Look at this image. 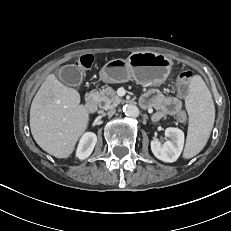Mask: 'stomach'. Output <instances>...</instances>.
Instances as JSON below:
<instances>
[{"label":"stomach","instance_id":"1","mask_svg":"<svg viewBox=\"0 0 231 231\" xmlns=\"http://www.w3.org/2000/svg\"><path fill=\"white\" fill-rule=\"evenodd\" d=\"M171 60L156 52H134L127 59H113L100 70L105 83H123L131 79L144 86L159 85L168 77Z\"/></svg>","mask_w":231,"mask_h":231}]
</instances>
